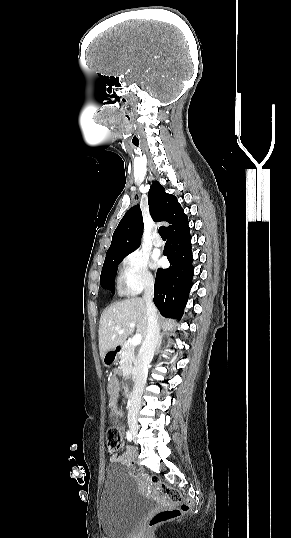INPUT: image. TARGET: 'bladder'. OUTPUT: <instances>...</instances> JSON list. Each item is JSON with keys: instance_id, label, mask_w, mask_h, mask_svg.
<instances>
[{"instance_id": "1", "label": "bladder", "mask_w": 291, "mask_h": 538, "mask_svg": "<svg viewBox=\"0 0 291 538\" xmlns=\"http://www.w3.org/2000/svg\"><path fill=\"white\" fill-rule=\"evenodd\" d=\"M153 507L140 494L135 478L124 465L111 463L105 468L99 524L107 538H126Z\"/></svg>"}]
</instances>
